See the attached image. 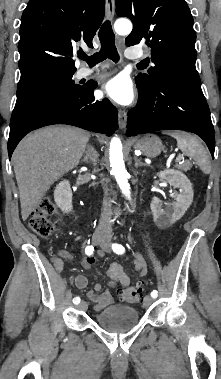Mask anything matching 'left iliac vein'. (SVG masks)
Instances as JSON below:
<instances>
[{
  "label": "left iliac vein",
  "mask_w": 221,
  "mask_h": 379,
  "mask_svg": "<svg viewBox=\"0 0 221 379\" xmlns=\"http://www.w3.org/2000/svg\"><path fill=\"white\" fill-rule=\"evenodd\" d=\"M101 248L105 251V252H110L111 251V243L109 240H105L102 244H101ZM154 299L153 297L151 296H146L145 299H144V306L145 307H149L152 303H153Z\"/></svg>",
  "instance_id": "4c4485c4"
}]
</instances>
